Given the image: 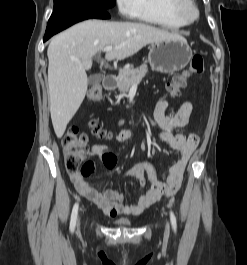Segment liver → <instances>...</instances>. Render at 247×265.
<instances>
[{"mask_svg": "<svg viewBox=\"0 0 247 265\" xmlns=\"http://www.w3.org/2000/svg\"><path fill=\"white\" fill-rule=\"evenodd\" d=\"M181 38L143 23L104 22L86 20L56 35L50 42L48 56V85L50 113L55 134L61 138L87 92L86 70L92 58L106 46V59L122 60L150 43Z\"/></svg>", "mask_w": 247, "mask_h": 265, "instance_id": "obj_1", "label": "liver"}]
</instances>
